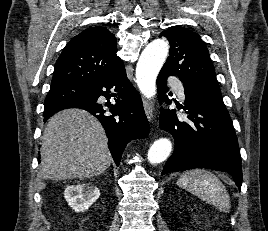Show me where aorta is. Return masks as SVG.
Returning <instances> with one entry per match:
<instances>
[{
    "label": "aorta",
    "mask_w": 268,
    "mask_h": 231,
    "mask_svg": "<svg viewBox=\"0 0 268 231\" xmlns=\"http://www.w3.org/2000/svg\"><path fill=\"white\" fill-rule=\"evenodd\" d=\"M169 52V44L164 39L150 42L140 55L136 67V82L141 93L152 98L156 94V78ZM172 143L168 138L156 140L148 151V161L158 164L168 158Z\"/></svg>",
    "instance_id": "762f6f07"
}]
</instances>
